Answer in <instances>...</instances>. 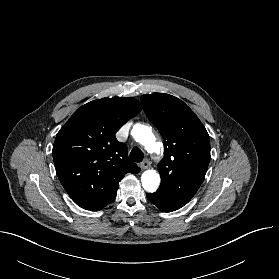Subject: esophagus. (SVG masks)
Returning <instances> with one entry per match:
<instances>
[{
	"label": "esophagus",
	"mask_w": 279,
	"mask_h": 279,
	"mask_svg": "<svg viewBox=\"0 0 279 279\" xmlns=\"http://www.w3.org/2000/svg\"><path fill=\"white\" fill-rule=\"evenodd\" d=\"M142 169H149L151 166V163L148 159H145L143 162L140 164Z\"/></svg>",
	"instance_id": "esophagus-1"
}]
</instances>
